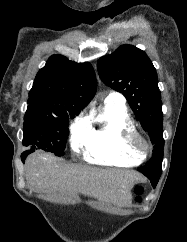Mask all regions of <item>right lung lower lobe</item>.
I'll list each match as a JSON object with an SVG mask.
<instances>
[{"label": "right lung lower lobe", "instance_id": "98d812e1", "mask_svg": "<svg viewBox=\"0 0 187 242\" xmlns=\"http://www.w3.org/2000/svg\"><path fill=\"white\" fill-rule=\"evenodd\" d=\"M32 152H34V150H27V151H24L22 154H21V160H22V162L24 163L25 162V158L30 154V153H32Z\"/></svg>", "mask_w": 187, "mask_h": 242}]
</instances>
